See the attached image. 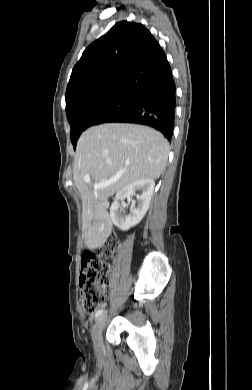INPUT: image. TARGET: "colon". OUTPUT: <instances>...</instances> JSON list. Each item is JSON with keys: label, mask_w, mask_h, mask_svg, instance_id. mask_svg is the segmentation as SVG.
<instances>
[{"label": "colon", "mask_w": 252, "mask_h": 390, "mask_svg": "<svg viewBox=\"0 0 252 390\" xmlns=\"http://www.w3.org/2000/svg\"><path fill=\"white\" fill-rule=\"evenodd\" d=\"M119 248V239L111 235L96 252L85 253L81 261L80 287L82 305L89 315L98 312L103 302L108 279V265L106 260L115 256Z\"/></svg>", "instance_id": "colon-1"}]
</instances>
